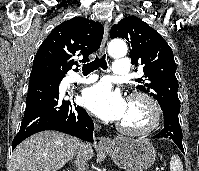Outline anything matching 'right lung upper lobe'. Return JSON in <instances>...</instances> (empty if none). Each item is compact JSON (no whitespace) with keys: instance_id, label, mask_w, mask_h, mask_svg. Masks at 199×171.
<instances>
[{"instance_id":"1","label":"right lung upper lobe","mask_w":199,"mask_h":171,"mask_svg":"<svg viewBox=\"0 0 199 171\" xmlns=\"http://www.w3.org/2000/svg\"><path fill=\"white\" fill-rule=\"evenodd\" d=\"M104 28L99 22L82 17L72 18L55 27L39 47L33 61V76L64 77L71 69L73 56L81 62L96 52L103 38Z\"/></svg>"}]
</instances>
